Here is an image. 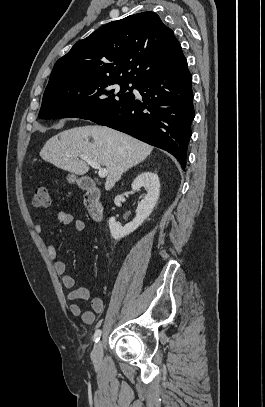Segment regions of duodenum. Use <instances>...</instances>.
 <instances>
[{"label": "duodenum", "instance_id": "1", "mask_svg": "<svg viewBox=\"0 0 265 407\" xmlns=\"http://www.w3.org/2000/svg\"><path fill=\"white\" fill-rule=\"evenodd\" d=\"M81 186L85 190L84 202L90 216L95 221L102 220L104 209L100 200V191L95 182L86 178L82 180Z\"/></svg>", "mask_w": 265, "mask_h": 407}]
</instances>
